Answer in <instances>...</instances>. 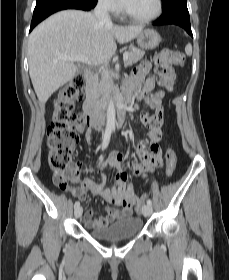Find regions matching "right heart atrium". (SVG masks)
<instances>
[{
    "label": "right heart atrium",
    "instance_id": "1",
    "mask_svg": "<svg viewBox=\"0 0 229 280\" xmlns=\"http://www.w3.org/2000/svg\"><path fill=\"white\" fill-rule=\"evenodd\" d=\"M98 2L108 13L117 14L120 11L119 0H98Z\"/></svg>",
    "mask_w": 229,
    "mask_h": 280
}]
</instances>
